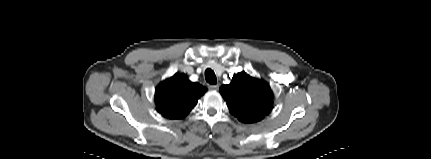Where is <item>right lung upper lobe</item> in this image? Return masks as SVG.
<instances>
[{"label":"right lung upper lobe","instance_id":"right-lung-upper-lobe-1","mask_svg":"<svg viewBox=\"0 0 431 159\" xmlns=\"http://www.w3.org/2000/svg\"><path fill=\"white\" fill-rule=\"evenodd\" d=\"M205 91V87L189 81L186 75L175 74L156 88L157 111L169 119L183 118L188 115Z\"/></svg>","mask_w":431,"mask_h":159}]
</instances>
